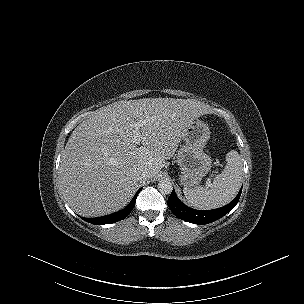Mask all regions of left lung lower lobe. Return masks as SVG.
I'll use <instances>...</instances> for the list:
<instances>
[{"label":"left lung lower lobe","mask_w":304,"mask_h":304,"mask_svg":"<svg viewBox=\"0 0 304 304\" xmlns=\"http://www.w3.org/2000/svg\"><path fill=\"white\" fill-rule=\"evenodd\" d=\"M241 191L242 188L231 203L213 210H195L185 206L177 198L174 189L168 199L167 204L170 210L174 213V215L181 220L194 224H208L218 220L219 218L230 212L238 203Z\"/></svg>","instance_id":"obj_1"}]
</instances>
